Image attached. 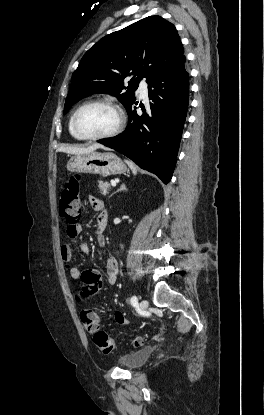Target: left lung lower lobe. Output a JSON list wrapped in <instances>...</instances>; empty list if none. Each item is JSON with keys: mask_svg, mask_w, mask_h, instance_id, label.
<instances>
[{"mask_svg": "<svg viewBox=\"0 0 264 415\" xmlns=\"http://www.w3.org/2000/svg\"><path fill=\"white\" fill-rule=\"evenodd\" d=\"M148 84L150 108L138 115L135 102L127 109L126 130L98 142L124 154L167 184L175 169L189 102L185 56Z\"/></svg>", "mask_w": 264, "mask_h": 415, "instance_id": "0a47b994", "label": "left lung lower lobe"}]
</instances>
